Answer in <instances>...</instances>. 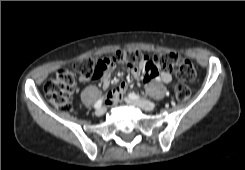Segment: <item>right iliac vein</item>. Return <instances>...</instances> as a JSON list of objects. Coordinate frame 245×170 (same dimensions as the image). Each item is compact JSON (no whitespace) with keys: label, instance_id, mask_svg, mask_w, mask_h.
I'll return each instance as SVG.
<instances>
[{"label":"right iliac vein","instance_id":"1","mask_svg":"<svg viewBox=\"0 0 245 170\" xmlns=\"http://www.w3.org/2000/svg\"><path fill=\"white\" fill-rule=\"evenodd\" d=\"M105 110H106V108L105 107H100V108H98L97 110H96V115L97 116H101V115H103V113L105 112Z\"/></svg>","mask_w":245,"mask_h":170}]
</instances>
